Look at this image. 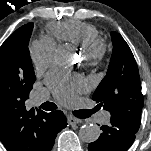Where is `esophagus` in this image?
Masks as SVG:
<instances>
[{"mask_svg": "<svg viewBox=\"0 0 151 151\" xmlns=\"http://www.w3.org/2000/svg\"><path fill=\"white\" fill-rule=\"evenodd\" d=\"M67 122H68V124L73 125V124H78V123H80L81 120L78 119V118H76V117H74V116H71V115H70V116L67 117Z\"/></svg>", "mask_w": 151, "mask_h": 151, "instance_id": "obj_1", "label": "esophagus"}]
</instances>
